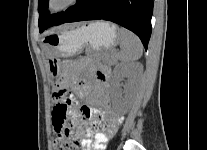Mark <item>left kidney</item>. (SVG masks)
Listing matches in <instances>:
<instances>
[{
    "label": "left kidney",
    "mask_w": 207,
    "mask_h": 150,
    "mask_svg": "<svg viewBox=\"0 0 207 150\" xmlns=\"http://www.w3.org/2000/svg\"><path fill=\"white\" fill-rule=\"evenodd\" d=\"M141 73L142 68L139 64L120 63L115 66L111 79V99L118 114L125 115L130 110L137 94ZM125 77L128 81L122 91L120 82Z\"/></svg>",
    "instance_id": "5707ae66"
}]
</instances>
